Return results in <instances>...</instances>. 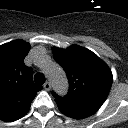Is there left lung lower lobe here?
Segmentation results:
<instances>
[{
  "mask_svg": "<svg viewBox=\"0 0 128 128\" xmlns=\"http://www.w3.org/2000/svg\"><path fill=\"white\" fill-rule=\"evenodd\" d=\"M59 110L74 119H82L89 117L96 113L98 109L92 107L79 106L71 103L64 102L62 100L55 99Z\"/></svg>",
  "mask_w": 128,
  "mask_h": 128,
  "instance_id": "left-lung-lower-lobe-1",
  "label": "left lung lower lobe"
}]
</instances>
